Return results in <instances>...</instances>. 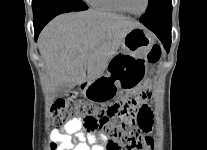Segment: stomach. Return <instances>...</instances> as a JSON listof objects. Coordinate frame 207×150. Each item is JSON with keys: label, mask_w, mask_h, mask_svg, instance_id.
<instances>
[{"label": "stomach", "mask_w": 207, "mask_h": 150, "mask_svg": "<svg viewBox=\"0 0 207 150\" xmlns=\"http://www.w3.org/2000/svg\"><path fill=\"white\" fill-rule=\"evenodd\" d=\"M153 42L152 36L143 28L129 30L120 51L109 60L107 74L87 82L83 90L85 97L105 101L118 96L121 88L142 85L148 73L146 56Z\"/></svg>", "instance_id": "1"}]
</instances>
